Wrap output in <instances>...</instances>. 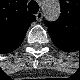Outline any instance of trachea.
<instances>
[{"instance_id":"trachea-1","label":"trachea","mask_w":80,"mask_h":80,"mask_svg":"<svg viewBox=\"0 0 80 80\" xmlns=\"http://www.w3.org/2000/svg\"><path fill=\"white\" fill-rule=\"evenodd\" d=\"M28 10L32 13H37L39 11V5L36 1L32 0L28 3Z\"/></svg>"}]
</instances>
